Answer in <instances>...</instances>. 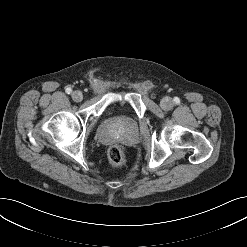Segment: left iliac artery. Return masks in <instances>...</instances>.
<instances>
[{
  "mask_svg": "<svg viewBox=\"0 0 247 247\" xmlns=\"http://www.w3.org/2000/svg\"><path fill=\"white\" fill-rule=\"evenodd\" d=\"M174 101H175L176 103H178V102H179V98L176 97V98L174 99Z\"/></svg>",
  "mask_w": 247,
  "mask_h": 247,
  "instance_id": "obj_1",
  "label": "left iliac artery"
}]
</instances>
